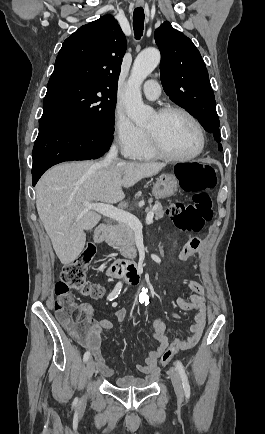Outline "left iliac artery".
Wrapping results in <instances>:
<instances>
[{"instance_id":"obj_1","label":"left iliac artery","mask_w":265,"mask_h":434,"mask_svg":"<svg viewBox=\"0 0 265 434\" xmlns=\"http://www.w3.org/2000/svg\"><path fill=\"white\" fill-rule=\"evenodd\" d=\"M175 366H176V368H177V370L179 372V375L181 377L185 396L187 398H189L190 397V385H189V382H188V378H187L184 366H183V364L179 360H177L175 362Z\"/></svg>"}]
</instances>
